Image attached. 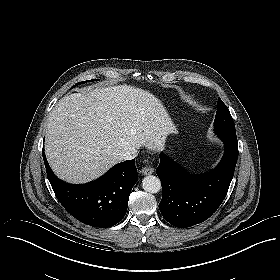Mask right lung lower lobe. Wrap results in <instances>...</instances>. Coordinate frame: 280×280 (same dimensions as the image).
I'll list each match as a JSON object with an SVG mask.
<instances>
[{
	"label": "right lung lower lobe",
	"instance_id": "obj_1",
	"mask_svg": "<svg viewBox=\"0 0 280 280\" xmlns=\"http://www.w3.org/2000/svg\"><path fill=\"white\" fill-rule=\"evenodd\" d=\"M43 159L57 199L77 220L93 227L108 228L125 216L130 192L137 182L135 159L119 163L97 180L80 185L58 179L44 151Z\"/></svg>",
	"mask_w": 280,
	"mask_h": 280
}]
</instances>
